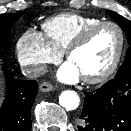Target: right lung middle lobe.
<instances>
[{
    "instance_id": "obj_1",
    "label": "right lung middle lobe",
    "mask_w": 131,
    "mask_h": 131,
    "mask_svg": "<svg viewBox=\"0 0 131 131\" xmlns=\"http://www.w3.org/2000/svg\"><path fill=\"white\" fill-rule=\"evenodd\" d=\"M23 12L0 14V47H9L10 31Z\"/></svg>"
}]
</instances>
